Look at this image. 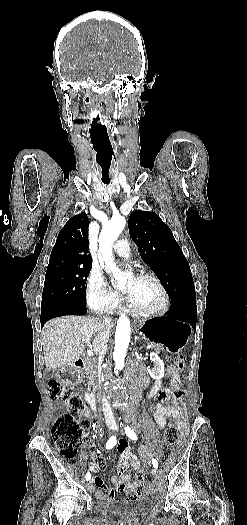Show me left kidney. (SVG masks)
I'll return each instance as SVG.
<instances>
[{
    "instance_id": "5707ae66",
    "label": "left kidney",
    "mask_w": 247,
    "mask_h": 525,
    "mask_svg": "<svg viewBox=\"0 0 247 525\" xmlns=\"http://www.w3.org/2000/svg\"><path fill=\"white\" fill-rule=\"evenodd\" d=\"M151 361L155 363V367L153 371L149 369L150 375H153V377H163L164 375V363H162L161 359H159L158 355L156 353H151L150 355Z\"/></svg>"
}]
</instances>
